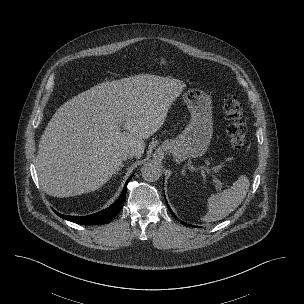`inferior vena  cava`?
Here are the masks:
<instances>
[{
	"label": "inferior vena cava",
	"mask_w": 304,
	"mask_h": 304,
	"mask_svg": "<svg viewBox=\"0 0 304 304\" xmlns=\"http://www.w3.org/2000/svg\"><path fill=\"white\" fill-rule=\"evenodd\" d=\"M137 155L135 150H127L124 154H123V159H128V158H133Z\"/></svg>",
	"instance_id": "602c4592"
}]
</instances>
